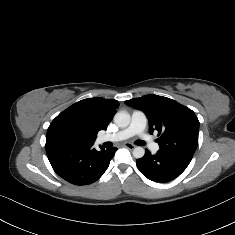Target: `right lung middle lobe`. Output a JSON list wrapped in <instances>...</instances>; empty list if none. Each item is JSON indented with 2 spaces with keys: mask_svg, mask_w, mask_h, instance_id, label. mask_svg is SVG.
Listing matches in <instances>:
<instances>
[{
  "mask_svg": "<svg viewBox=\"0 0 235 235\" xmlns=\"http://www.w3.org/2000/svg\"><path fill=\"white\" fill-rule=\"evenodd\" d=\"M63 140L69 143L89 142L79 131L74 128H66L63 132Z\"/></svg>",
  "mask_w": 235,
  "mask_h": 235,
  "instance_id": "1",
  "label": "right lung middle lobe"
}]
</instances>
